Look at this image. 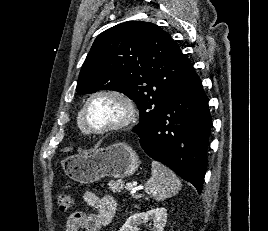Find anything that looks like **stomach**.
Segmentation results:
<instances>
[{"mask_svg":"<svg viewBox=\"0 0 268 231\" xmlns=\"http://www.w3.org/2000/svg\"><path fill=\"white\" fill-rule=\"evenodd\" d=\"M136 152L125 143L68 156L61 161L64 173L74 181L93 183L104 177L123 179L133 175L139 167Z\"/></svg>","mask_w":268,"mask_h":231,"instance_id":"obj_1","label":"stomach"}]
</instances>
